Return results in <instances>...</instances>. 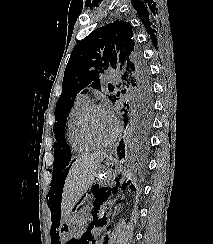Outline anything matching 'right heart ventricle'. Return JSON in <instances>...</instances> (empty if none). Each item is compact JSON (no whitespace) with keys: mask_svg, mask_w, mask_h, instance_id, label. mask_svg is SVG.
<instances>
[{"mask_svg":"<svg viewBox=\"0 0 213 244\" xmlns=\"http://www.w3.org/2000/svg\"><path fill=\"white\" fill-rule=\"evenodd\" d=\"M90 104V100L79 96L67 117L66 139L70 148L77 153H86L94 148L93 145L84 140L80 132L81 117Z\"/></svg>","mask_w":213,"mask_h":244,"instance_id":"e07e8e85","label":"right heart ventricle"}]
</instances>
